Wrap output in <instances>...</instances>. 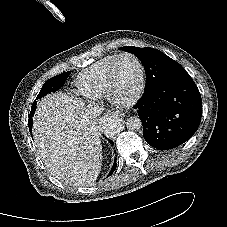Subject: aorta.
Returning a JSON list of instances; mask_svg holds the SVG:
<instances>
[{
  "label": "aorta",
  "mask_w": 227,
  "mask_h": 227,
  "mask_svg": "<svg viewBox=\"0 0 227 227\" xmlns=\"http://www.w3.org/2000/svg\"><path fill=\"white\" fill-rule=\"evenodd\" d=\"M120 126V119L116 115H111L104 120V129L108 134H115L118 132ZM126 127L131 131H138L142 128V122L139 117L131 116L126 121Z\"/></svg>",
  "instance_id": "762f6f07"
}]
</instances>
